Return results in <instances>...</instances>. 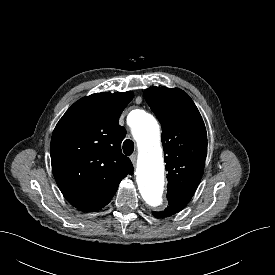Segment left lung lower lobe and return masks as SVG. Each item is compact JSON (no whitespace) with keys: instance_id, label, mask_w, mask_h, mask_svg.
<instances>
[{"instance_id":"1","label":"left lung lower lobe","mask_w":275,"mask_h":275,"mask_svg":"<svg viewBox=\"0 0 275 275\" xmlns=\"http://www.w3.org/2000/svg\"><path fill=\"white\" fill-rule=\"evenodd\" d=\"M169 205L163 212H153V215L157 218H163L171 216L181 211L191 200L192 196L189 195H172L167 196Z\"/></svg>"}]
</instances>
